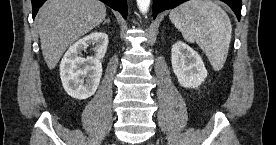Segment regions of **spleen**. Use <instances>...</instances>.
<instances>
[{"instance_id": "spleen-1", "label": "spleen", "mask_w": 276, "mask_h": 145, "mask_svg": "<svg viewBox=\"0 0 276 145\" xmlns=\"http://www.w3.org/2000/svg\"><path fill=\"white\" fill-rule=\"evenodd\" d=\"M169 18L187 42L199 45L215 71L223 68L232 25L221 7L211 0H189L173 9Z\"/></svg>"}]
</instances>
